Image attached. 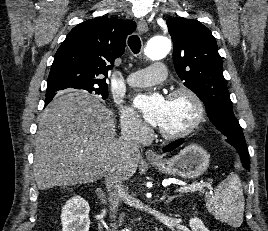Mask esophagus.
<instances>
[{"instance_id":"34e87169","label":"esophagus","mask_w":268,"mask_h":231,"mask_svg":"<svg viewBox=\"0 0 268 231\" xmlns=\"http://www.w3.org/2000/svg\"><path fill=\"white\" fill-rule=\"evenodd\" d=\"M138 29L141 33H145L148 30V25L147 22L145 21L144 18H140L138 22ZM145 156L148 160L151 161H159L161 158L159 155L153 150V149H148L145 152Z\"/></svg>"}]
</instances>
